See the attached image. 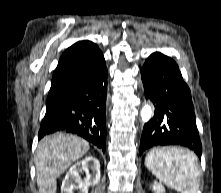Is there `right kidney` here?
Returning <instances> with one entry per match:
<instances>
[{
	"label": "right kidney",
	"instance_id": "obj_1",
	"mask_svg": "<svg viewBox=\"0 0 221 193\" xmlns=\"http://www.w3.org/2000/svg\"><path fill=\"white\" fill-rule=\"evenodd\" d=\"M89 169L92 174H89ZM84 171L86 178L82 179L80 173ZM100 180V163L99 161L88 156L74 164L67 172L61 186V193H88V187L94 186Z\"/></svg>",
	"mask_w": 221,
	"mask_h": 193
}]
</instances>
